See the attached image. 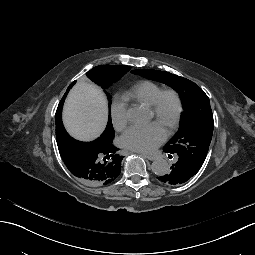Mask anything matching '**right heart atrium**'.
I'll use <instances>...</instances> for the list:
<instances>
[{
  "label": "right heart atrium",
  "instance_id": "right-heart-atrium-1",
  "mask_svg": "<svg viewBox=\"0 0 255 255\" xmlns=\"http://www.w3.org/2000/svg\"><path fill=\"white\" fill-rule=\"evenodd\" d=\"M110 119L115 130L122 131L128 124V112L124 104L114 100L110 106Z\"/></svg>",
  "mask_w": 255,
  "mask_h": 255
}]
</instances>
